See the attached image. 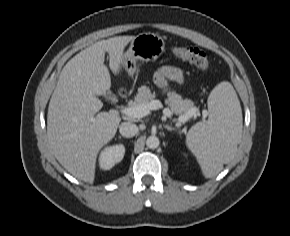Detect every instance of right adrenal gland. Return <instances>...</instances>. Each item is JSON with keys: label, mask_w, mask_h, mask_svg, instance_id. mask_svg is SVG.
<instances>
[{"label": "right adrenal gland", "mask_w": 290, "mask_h": 236, "mask_svg": "<svg viewBox=\"0 0 290 236\" xmlns=\"http://www.w3.org/2000/svg\"><path fill=\"white\" fill-rule=\"evenodd\" d=\"M118 138L121 139L122 137L121 136H118Z\"/></svg>", "instance_id": "1"}]
</instances>
